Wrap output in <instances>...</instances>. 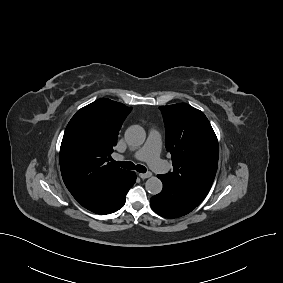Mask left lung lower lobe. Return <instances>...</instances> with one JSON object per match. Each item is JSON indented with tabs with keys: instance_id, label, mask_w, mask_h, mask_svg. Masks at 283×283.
<instances>
[{
	"instance_id": "obj_1",
	"label": "left lung lower lobe",
	"mask_w": 283,
	"mask_h": 283,
	"mask_svg": "<svg viewBox=\"0 0 283 283\" xmlns=\"http://www.w3.org/2000/svg\"><path fill=\"white\" fill-rule=\"evenodd\" d=\"M163 183L161 193L150 199L152 209L166 218H177L191 212L199 204L192 201L181 189L170 180L158 175Z\"/></svg>"
}]
</instances>
